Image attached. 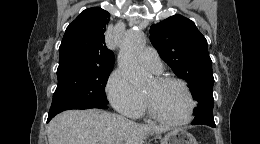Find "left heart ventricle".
Segmentation results:
<instances>
[{
  "label": "left heart ventricle",
  "mask_w": 260,
  "mask_h": 144,
  "mask_svg": "<svg viewBox=\"0 0 260 144\" xmlns=\"http://www.w3.org/2000/svg\"><path fill=\"white\" fill-rule=\"evenodd\" d=\"M156 110L166 118L183 120L188 116L189 100L185 91L177 84L157 86L151 80L143 89Z\"/></svg>",
  "instance_id": "obj_1"
}]
</instances>
